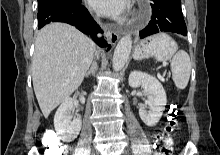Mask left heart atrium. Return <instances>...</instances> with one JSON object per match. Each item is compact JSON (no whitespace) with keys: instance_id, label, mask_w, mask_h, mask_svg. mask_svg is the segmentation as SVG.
Here are the masks:
<instances>
[{"instance_id":"39dd6f15","label":"left heart atrium","mask_w":220,"mask_h":155,"mask_svg":"<svg viewBox=\"0 0 220 155\" xmlns=\"http://www.w3.org/2000/svg\"><path fill=\"white\" fill-rule=\"evenodd\" d=\"M91 7L100 14L119 17L129 9L128 0H89Z\"/></svg>"}]
</instances>
